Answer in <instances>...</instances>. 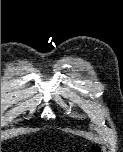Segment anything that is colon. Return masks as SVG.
<instances>
[{
    "label": "colon",
    "mask_w": 123,
    "mask_h": 152,
    "mask_svg": "<svg viewBox=\"0 0 123 152\" xmlns=\"http://www.w3.org/2000/svg\"><path fill=\"white\" fill-rule=\"evenodd\" d=\"M89 152H102L99 147H93L92 149L89 150Z\"/></svg>",
    "instance_id": "5ec220e1"
}]
</instances>
